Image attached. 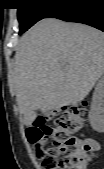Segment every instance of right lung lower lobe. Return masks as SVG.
Returning a JSON list of instances; mask_svg holds the SVG:
<instances>
[{"label": "right lung lower lobe", "instance_id": "98d812e1", "mask_svg": "<svg viewBox=\"0 0 104 169\" xmlns=\"http://www.w3.org/2000/svg\"><path fill=\"white\" fill-rule=\"evenodd\" d=\"M47 17L83 23L104 31V0H65Z\"/></svg>", "mask_w": 104, "mask_h": 169}]
</instances>
